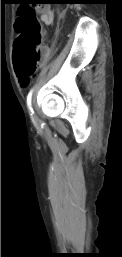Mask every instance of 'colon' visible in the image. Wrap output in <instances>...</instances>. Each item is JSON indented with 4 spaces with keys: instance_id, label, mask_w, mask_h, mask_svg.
<instances>
[{
    "instance_id": "5ec220e1",
    "label": "colon",
    "mask_w": 122,
    "mask_h": 257,
    "mask_svg": "<svg viewBox=\"0 0 122 257\" xmlns=\"http://www.w3.org/2000/svg\"><path fill=\"white\" fill-rule=\"evenodd\" d=\"M16 9L19 12L15 22L18 35L14 41V64L17 75L28 78L42 60L41 29L36 16L31 11L36 10V5H17Z\"/></svg>"
}]
</instances>
